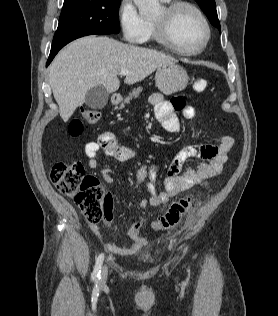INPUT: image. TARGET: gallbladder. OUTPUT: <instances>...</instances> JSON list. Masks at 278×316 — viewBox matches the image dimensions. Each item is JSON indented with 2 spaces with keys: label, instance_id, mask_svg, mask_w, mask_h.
I'll list each match as a JSON object with an SVG mask.
<instances>
[{
  "label": "gallbladder",
  "instance_id": "obj_1",
  "mask_svg": "<svg viewBox=\"0 0 278 316\" xmlns=\"http://www.w3.org/2000/svg\"><path fill=\"white\" fill-rule=\"evenodd\" d=\"M109 93L102 85L89 89L85 96V104L91 109H102L108 102Z\"/></svg>",
  "mask_w": 278,
  "mask_h": 316
}]
</instances>
